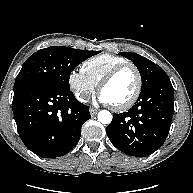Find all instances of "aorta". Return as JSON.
I'll use <instances>...</instances> for the list:
<instances>
[{"label":"aorta","instance_id":"aorta-1","mask_svg":"<svg viewBox=\"0 0 193 193\" xmlns=\"http://www.w3.org/2000/svg\"><path fill=\"white\" fill-rule=\"evenodd\" d=\"M98 120L102 124H109L112 121V114L107 110H102L98 113Z\"/></svg>","mask_w":193,"mask_h":193}]
</instances>
